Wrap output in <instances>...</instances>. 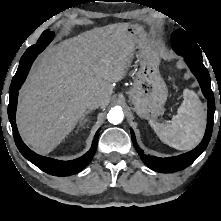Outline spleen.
I'll use <instances>...</instances> for the list:
<instances>
[{"label": "spleen", "instance_id": "1", "mask_svg": "<svg viewBox=\"0 0 221 221\" xmlns=\"http://www.w3.org/2000/svg\"><path fill=\"white\" fill-rule=\"evenodd\" d=\"M183 102L177 115L171 121L150 125L159 139L178 150H191L196 147L205 131L206 113L198 96L189 89L183 91Z\"/></svg>", "mask_w": 221, "mask_h": 221}]
</instances>
